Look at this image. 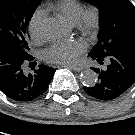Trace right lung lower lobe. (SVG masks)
Here are the masks:
<instances>
[{
	"label": "right lung lower lobe",
	"mask_w": 135,
	"mask_h": 135,
	"mask_svg": "<svg viewBox=\"0 0 135 135\" xmlns=\"http://www.w3.org/2000/svg\"><path fill=\"white\" fill-rule=\"evenodd\" d=\"M34 58L23 56L6 46H0V90L10 99L28 102L43 95L56 69L40 65L34 73L24 70Z\"/></svg>",
	"instance_id": "1"
}]
</instances>
